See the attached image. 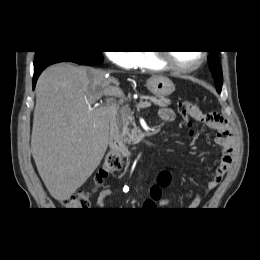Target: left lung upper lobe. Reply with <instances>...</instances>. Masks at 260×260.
Wrapping results in <instances>:
<instances>
[{"label":"left lung upper lobe","mask_w":260,"mask_h":260,"mask_svg":"<svg viewBox=\"0 0 260 260\" xmlns=\"http://www.w3.org/2000/svg\"><path fill=\"white\" fill-rule=\"evenodd\" d=\"M209 52H210L208 57L209 67L215 80L216 89L218 93H220L222 89V69L219 64V54L218 51H209Z\"/></svg>","instance_id":"1"}]
</instances>
